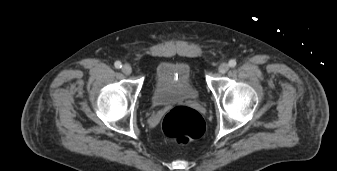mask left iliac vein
Instances as JSON below:
<instances>
[{
  "instance_id": "1",
  "label": "left iliac vein",
  "mask_w": 337,
  "mask_h": 171,
  "mask_svg": "<svg viewBox=\"0 0 337 171\" xmlns=\"http://www.w3.org/2000/svg\"><path fill=\"white\" fill-rule=\"evenodd\" d=\"M229 70V65L227 63H222L218 67V71L220 74H225Z\"/></svg>"
}]
</instances>
